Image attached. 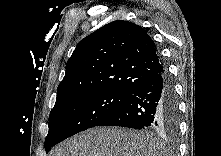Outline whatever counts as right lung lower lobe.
Listing matches in <instances>:
<instances>
[{
  "mask_svg": "<svg viewBox=\"0 0 221 156\" xmlns=\"http://www.w3.org/2000/svg\"><path fill=\"white\" fill-rule=\"evenodd\" d=\"M179 122L177 96L167 70L140 85L130 97L97 126L176 132Z\"/></svg>",
  "mask_w": 221,
  "mask_h": 156,
  "instance_id": "1",
  "label": "right lung lower lobe"
}]
</instances>
